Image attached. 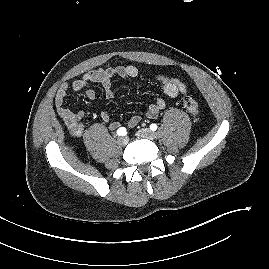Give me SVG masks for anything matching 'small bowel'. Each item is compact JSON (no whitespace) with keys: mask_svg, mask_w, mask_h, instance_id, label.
Instances as JSON below:
<instances>
[{"mask_svg":"<svg viewBox=\"0 0 269 269\" xmlns=\"http://www.w3.org/2000/svg\"><path fill=\"white\" fill-rule=\"evenodd\" d=\"M140 70L134 65H119L114 68L96 69L83 74L80 78L74 80L72 84L63 83L59 87L56 97L55 106L59 116L65 122L70 134L74 137H81L84 132V112L82 110H71L66 106V97L71 90L73 93L80 92L90 83H99L102 85L106 98L111 99L114 97V91L112 87V80L114 77H142ZM155 80L160 83L164 94L170 98H176L181 95H185L187 92L186 85L177 78L170 77L164 74H155ZM86 97L89 100L96 98V92L93 89L86 91ZM166 102L164 98H158L154 103H151L146 111V115L149 118H155L159 112L165 109ZM100 118L103 122L108 123L110 121V115L106 111L100 113ZM141 118L138 115L132 116L128 120V127L132 128L138 125ZM120 123L113 121L109 123V129L114 131L119 129Z\"/></svg>","mask_w":269,"mask_h":269,"instance_id":"small-bowel-1","label":"small bowel"}]
</instances>
